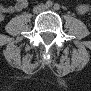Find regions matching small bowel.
Returning <instances> with one entry per match:
<instances>
[{"label":"small bowel","instance_id":"1","mask_svg":"<svg viewBox=\"0 0 91 91\" xmlns=\"http://www.w3.org/2000/svg\"><path fill=\"white\" fill-rule=\"evenodd\" d=\"M27 4H28L27 0H17L13 5L5 7L4 11L6 13L20 11V10H23L24 8H26ZM87 11H88V4H86V3L80 4L77 7V12L79 14H85Z\"/></svg>","mask_w":91,"mask_h":91}]
</instances>
